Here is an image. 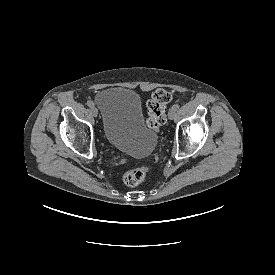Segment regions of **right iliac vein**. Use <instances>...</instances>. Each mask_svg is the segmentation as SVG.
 Masks as SVG:
<instances>
[{
  "label": "right iliac vein",
  "instance_id": "1",
  "mask_svg": "<svg viewBox=\"0 0 275 275\" xmlns=\"http://www.w3.org/2000/svg\"><path fill=\"white\" fill-rule=\"evenodd\" d=\"M91 113H92V115L94 116V117H97V115H98V110H97V108L96 107H91Z\"/></svg>",
  "mask_w": 275,
  "mask_h": 275
}]
</instances>
